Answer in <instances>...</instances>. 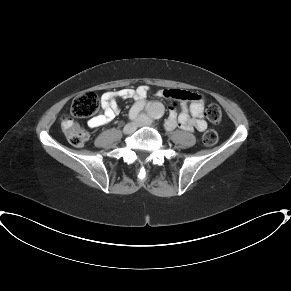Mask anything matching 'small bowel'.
Wrapping results in <instances>:
<instances>
[{"label": "small bowel", "mask_w": 291, "mask_h": 291, "mask_svg": "<svg viewBox=\"0 0 291 291\" xmlns=\"http://www.w3.org/2000/svg\"><path fill=\"white\" fill-rule=\"evenodd\" d=\"M149 88L145 85L136 89H121L105 92L101 96L102 111L88 121L90 128H99L110 123L118 112L117 99L133 98L135 107L139 110L145 107V98ZM160 98L173 102H182L180 114L171 108L165 121V128L168 131L180 127L186 131L202 132L206 129L207 123L204 119V99L195 92L180 89H161L157 92ZM189 103V104H188Z\"/></svg>", "instance_id": "c3829d8e"}]
</instances>
